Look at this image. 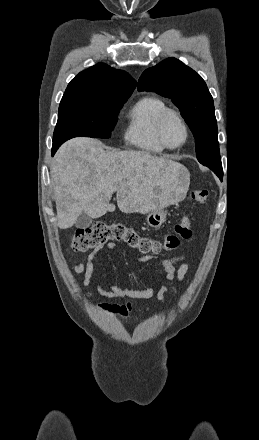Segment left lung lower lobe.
Masks as SVG:
<instances>
[{
	"mask_svg": "<svg viewBox=\"0 0 259 440\" xmlns=\"http://www.w3.org/2000/svg\"><path fill=\"white\" fill-rule=\"evenodd\" d=\"M222 176H223V173L220 175V178H222Z\"/></svg>",
	"mask_w": 259,
	"mask_h": 440,
	"instance_id": "obj_1",
	"label": "left lung lower lobe"
}]
</instances>
